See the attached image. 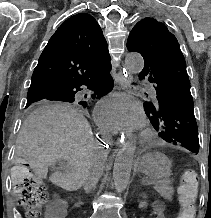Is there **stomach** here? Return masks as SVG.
<instances>
[{
  "label": "stomach",
  "instance_id": "1",
  "mask_svg": "<svg viewBox=\"0 0 211 218\" xmlns=\"http://www.w3.org/2000/svg\"><path fill=\"white\" fill-rule=\"evenodd\" d=\"M170 167V160L159 152L145 154L139 163L140 171L153 179L165 177L168 174Z\"/></svg>",
  "mask_w": 211,
  "mask_h": 218
}]
</instances>
